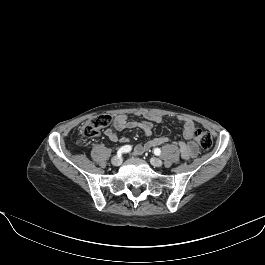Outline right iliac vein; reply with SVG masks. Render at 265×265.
I'll use <instances>...</instances> for the list:
<instances>
[{"label":"right iliac vein","mask_w":265,"mask_h":265,"mask_svg":"<svg viewBox=\"0 0 265 265\" xmlns=\"http://www.w3.org/2000/svg\"><path fill=\"white\" fill-rule=\"evenodd\" d=\"M112 164L115 166H119L122 163V158L120 156H114L111 160Z\"/></svg>","instance_id":"63e3f726"}]
</instances>
